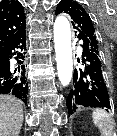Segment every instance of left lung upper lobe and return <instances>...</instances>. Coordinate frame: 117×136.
I'll return each instance as SVG.
<instances>
[{"instance_id": "left-lung-upper-lobe-1", "label": "left lung upper lobe", "mask_w": 117, "mask_h": 136, "mask_svg": "<svg viewBox=\"0 0 117 136\" xmlns=\"http://www.w3.org/2000/svg\"><path fill=\"white\" fill-rule=\"evenodd\" d=\"M67 13L71 16L72 25L75 33L83 35L90 44V49L100 57V47L97 40L93 22L81 4L76 1H61L56 9V15Z\"/></svg>"}]
</instances>
